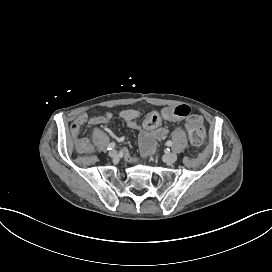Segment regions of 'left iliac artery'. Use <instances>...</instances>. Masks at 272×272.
<instances>
[{
  "label": "left iliac artery",
  "mask_w": 272,
  "mask_h": 272,
  "mask_svg": "<svg viewBox=\"0 0 272 272\" xmlns=\"http://www.w3.org/2000/svg\"><path fill=\"white\" fill-rule=\"evenodd\" d=\"M166 145H167V146H172V141H171V140H168V141L166 142Z\"/></svg>",
  "instance_id": "left-iliac-artery-1"
}]
</instances>
